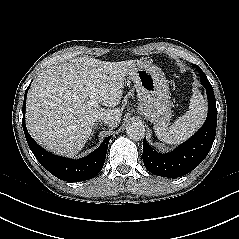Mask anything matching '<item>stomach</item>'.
<instances>
[{"label":"stomach","instance_id":"1","mask_svg":"<svg viewBox=\"0 0 239 239\" xmlns=\"http://www.w3.org/2000/svg\"><path fill=\"white\" fill-rule=\"evenodd\" d=\"M127 75L137 90L138 112L154 126H167L172 112L168 84L161 70L146 61H138Z\"/></svg>","mask_w":239,"mask_h":239}]
</instances>
